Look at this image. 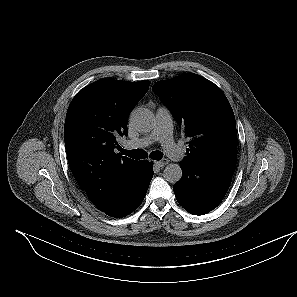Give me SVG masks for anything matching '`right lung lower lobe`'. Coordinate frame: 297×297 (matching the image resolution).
<instances>
[{
  "mask_svg": "<svg viewBox=\"0 0 297 297\" xmlns=\"http://www.w3.org/2000/svg\"><path fill=\"white\" fill-rule=\"evenodd\" d=\"M141 172L129 188L120 197L118 202L104 213L115 218L129 215L142 203L153 177V164L142 160Z\"/></svg>",
  "mask_w": 297,
  "mask_h": 297,
  "instance_id": "obj_1",
  "label": "right lung lower lobe"
}]
</instances>
